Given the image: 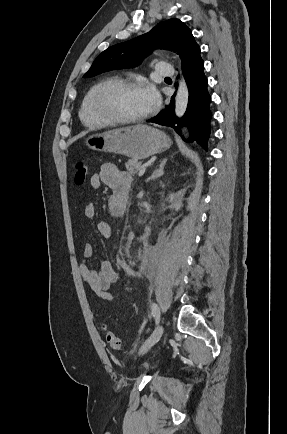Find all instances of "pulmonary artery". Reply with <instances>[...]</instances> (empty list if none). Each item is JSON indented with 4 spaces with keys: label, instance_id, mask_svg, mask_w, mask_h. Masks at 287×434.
Instances as JSON below:
<instances>
[{
    "label": "pulmonary artery",
    "instance_id": "e3ab8cb5",
    "mask_svg": "<svg viewBox=\"0 0 287 434\" xmlns=\"http://www.w3.org/2000/svg\"><path fill=\"white\" fill-rule=\"evenodd\" d=\"M155 72L157 75L165 76V77L174 76L175 74L174 67L170 64H165V63H158L156 65Z\"/></svg>",
    "mask_w": 287,
    "mask_h": 434
}]
</instances>
